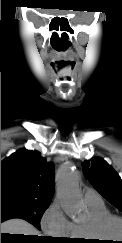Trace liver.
<instances>
[{"instance_id": "6515ba94", "label": "liver", "mask_w": 122, "mask_h": 243, "mask_svg": "<svg viewBox=\"0 0 122 243\" xmlns=\"http://www.w3.org/2000/svg\"><path fill=\"white\" fill-rule=\"evenodd\" d=\"M1 233L41 236L34 226L23 219H10L1 223Z\"/></svg>"}]
</instances>
